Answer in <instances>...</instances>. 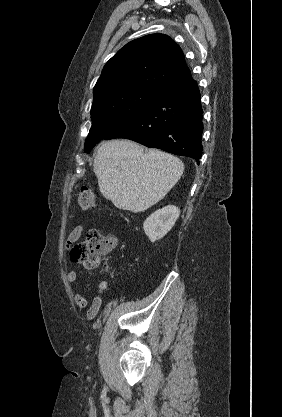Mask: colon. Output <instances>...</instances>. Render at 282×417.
<instances>
[{
    "label": "colon",
    "instance_id": "obj_1",
    "mask_svg": "<svg viewBox=\"0 0 282 417\" xmlns=\"http://www.w3.org/2000/svg\"><path fill=\"white\" fill-rule=\"evenodd\" d=\"M76 199L79 205L85 209H92L95 205L94 194L87 187L80 189L76 194ZM107 255V244L94 230L89 232L86 240L77 243L71 250L73 263L103 272H107Z\"/></svg>",
    "mask_w": 282,
    "mask_h": 417
}]
</instances>
